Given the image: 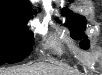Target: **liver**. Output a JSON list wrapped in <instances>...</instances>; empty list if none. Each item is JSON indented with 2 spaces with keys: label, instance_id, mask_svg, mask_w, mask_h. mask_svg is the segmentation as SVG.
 <instances>
[{
  "label": "liver",
  "instance_id": "1",
  "mask_svg": "<svg viewBox=\"0 0 102 75\" xmlns=\"http://www.w3.org/2000/svg\"><path fill=\"white\" fill-rule=\"evenodd\" d=\"M0 75H72L51 64L37 63L20 68L1 69Z\"/></svg>",
  "mask_w": 102,
  "mask_h": 75
}]
</instances>
